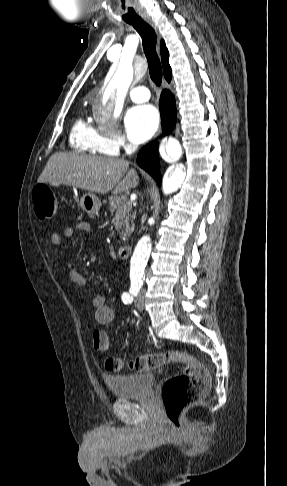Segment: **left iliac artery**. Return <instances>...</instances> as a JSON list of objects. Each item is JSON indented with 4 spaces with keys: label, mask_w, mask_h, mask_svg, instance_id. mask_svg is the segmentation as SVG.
Segmentation results:
<instances>
[{
    "label": "left iliac artery",
    "mask_w": 287,
    "mask_h": 486,
    "mask_svg": "<svg viewBox=\"0 0 287 486\" xmlns=\"http://www.w3.org/2000/svg\"><path fill=\"white\" fill-rule=\"evenodd\" d=\"M122 300H123V302H124L125 304H127V303H131V302H132V300H133V296H128V297L122 298Z\"/></svg>",
    "instance_id": "left-iliac-artery-1"
}]
</instances>
